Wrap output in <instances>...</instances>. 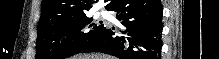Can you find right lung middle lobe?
Segmentation results:
<instances>
[{
    "instance_id": "obj_1",
    "label": "right lung middle lobe",
    "mask_w": 219,
    "mask_h": 59,
    "mask_svg": "<svg viewBox=\"0 0 219 59\" xmlns=\"http://www.w3.org/2000/svg\"><path fill=\"white\" fill-rule=\"evenodd\" d=\"M86 14L50 21L37 28L35 59H65L81 52L105 29Z\"/></svg>"
}]
</instances>
